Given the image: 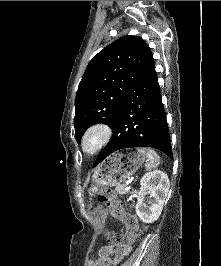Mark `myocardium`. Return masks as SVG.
<instances>
[{
  "label": "myocardium",
  "mask_w": 221,
  "mask_h": 266,
  "mask_svg": "<svg viewBox=\"0 0 221 266\" xmlns=\"http://www.w3.org/2000/svg\"><path fill=\"white\" fill-rule=\"evenodd\" d=\"M111 135L112 128L108 124L97 123L92 125L81 139V151L87 156L96 154L108 143Z\"/></svg>",
  "instance_id": "f54148a6"
}]
</instances>
